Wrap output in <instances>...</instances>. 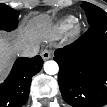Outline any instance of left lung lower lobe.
I'll list each match as a JSON object with an SVG mask.
<instances>
[{
    "label": "left lung lower lobe",
    "mask_w": 107,
    "mask_h": 107,
    "mask_svg": "<svg viewBox=\"0 0 107 107\" xmlns=\"http://www.w3.org/2000/svg\"><path fill=\"white\" fill-rule=\"evenodd\" d=\"M63 99L73 107L107 103V19L97 22L78 40L54 52Z\"/></svg>",
    "instance_id": "1"
}]
</instances>
